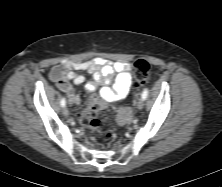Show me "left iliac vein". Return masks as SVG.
<instances>
[{"label":"left iliac vein","instance_id":"obj_1","mask_svg":"<svg viewBox=\"0 0 222 187\" xmlns=\"http://www.w3.org/2000/svg\"><path fill=\"white\" fill-rule=\"evenodd\" d=\"M144 107V99L143 98H140L138 103H137V108L139 110H141L142 108Z\"/></svg>","mask_w":222,"mask_h":187}]
</instances>
